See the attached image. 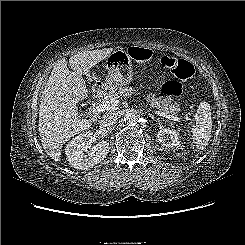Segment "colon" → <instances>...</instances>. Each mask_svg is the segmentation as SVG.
Segmentation results:
<instances>
[{
	"instance_id": "1",
	"label": "colon",
	"mask_w": 245,
	"mask_h": 245,
	"mask_svg": "<svg viewBox=\"0 0 245 245\" xmlns=\"http://www.w3.org/2000/svg\"><path fill=\"white\" fill-rule=\"evenodd\" d=\"M129 55L140 61L150 59L151 51L142 48H131L129 49ZM161 64L164 68L168 69L178 79L182 81L189 80L194 75V68L191 63L186 60L178 59L172 56H164L161 59ZM182 88L178 81H169L163 84L161 88V94L164 97L175 98L181 94Z\"/></svg>"
}]
</instances>
